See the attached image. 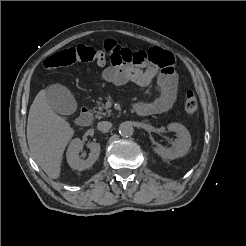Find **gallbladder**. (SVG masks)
<instances>
[{
    "instance_id": "bac80fb5",
    "label": "gallbladder",
    "mask_w": 246,
    "mask_h": 246,
    "mask_svg": "<svg viewBox=\"0 0 246 246\" xmlns=\"http://www.w3.org/2000/svg\"><path fill=\"white\" fill-rule=\"evenodd\" d=\"M46 97L51 109L60 115H71L77 110V103L71 92L60 84L50 85Z\"/></svg>"
}]
</instances>
